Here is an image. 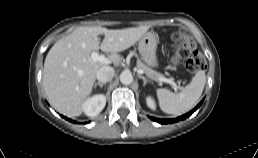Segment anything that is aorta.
Masks as SVG:
<instances>
[{"instance_id":"obj_1","label":"aorta","mask_w":258,"mask_h":158,"mask_svg":"<svg viewBox=\"0 0 258 158\" xmlns=\"http://www.w3.org/2000/svg\"><path fill=\"white\" fill-rule=\"evenodd\" d=\"M120 82L123 85H130L133 82V76L131 72L129 71H124L120 74Z\"/></svg>"}]
</instances>
